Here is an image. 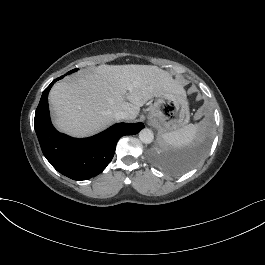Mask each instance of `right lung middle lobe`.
I'll return each mask as SVG.
<instances>
[{"instance_id": "right-lung-middle-lobe-1", "label": "right lung middle lobe", "mask_w": 265, "mask_h": 265, "mask_svg": "<svg viewBox=\"0 0 265 265\" xmlns=\"http://www.w3.org/2000/svg\"><path fill=\"white\" fill-rule=\"evenodd\" d=\"M74 71H76V69H74V70H72V71L68 72V74H69V73H72V72H74Z\"/></svg>"}]
</instances>
